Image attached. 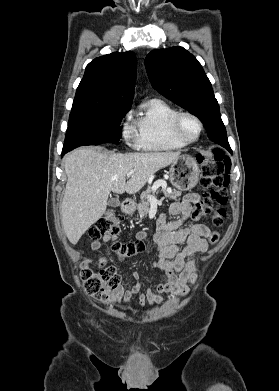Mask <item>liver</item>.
I'll use <instances>...</instances> for the list:
<instances>
[{"instance_id": "obj_1", "label": "liver", "mask_w": 279, "mask_h": 391, "mask_svg": "<svg viewBox=\"0 0 279 391\" xmlns=\"http://www.w3.org/2000/svg\"><path fill=\"white\" fill-rule=\"evenodd\" d=\"M180 157L179 152L110 154L81 148L65 157L66 189L61 223L68 240L81 236L105 213L109 193L139 191L148 178ZM132 172L126 183L127 173Z\"/></svg>"}]
</instances>
